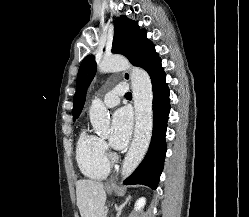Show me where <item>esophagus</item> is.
I'll list each match as a JSON object with an SVG mask.
<instances>
[{
	"mask_svg": "<svg viewBox=\"0 0 249 217\" xmlns=\"http://www.w3.org/2000/svg\"><path fill=\"white\" fill-rule=\"evenodd\" d=\"M123 78L126 80V81H129L130 80V73L128 72V71H125L124 73H123ZM115 178H113V179H111L110 181H109V184H114L115 183Z\"/></svg>",
	"mask_w": 249,
	"mask_h": 217,
	"instance_id": "1",
	"label": "esophagus"
}]
</instances>
